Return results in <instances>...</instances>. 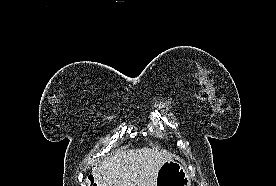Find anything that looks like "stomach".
Wrapping results in <instances>:
<instances>
[{"mask_svg": "<svg viewBox=\"0 0 276 186\" xmlns=\"http://www.w3.org/2000/svg\"><path fill=\"white\" fill-rule=\"evenodd\" d=\"M155 186H191V181L186 168L170 159L161 165Z\"/></svg>", "mask_w": 276, "mask_h": 186, "instance_id": "1", "label": "stomach"}]
</instances>
